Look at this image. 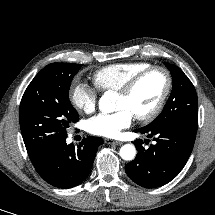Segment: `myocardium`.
Listing matches in <instances>:
<instances>
[{
    "instance_id": "f54148a6",
    "label": "myocardium",
    "mask_w": 215,
    "mask_h": 215,
    "mask_svg": "<svg viewBox=\"0 0 215 215\" xmlns=\"http://www.w3.org/2000/svg\"><path fill=\"white\" fill-rule=\"evenodd\" d=\"M153 72H161L166 80L165 88L164 91L158 100L157 104L147 113L142 114V115H137L135 118L140 121V122H150L154 120L163 110L168 97L171 93L172 90V85H173V79L170 71L163 67V66H150L141 72L137 73L134 75L131 79H129L122 88L118 90V94L122 96H129L135 88L138 86V84L149 74Z\"/></svg>"
}]
</instances>
